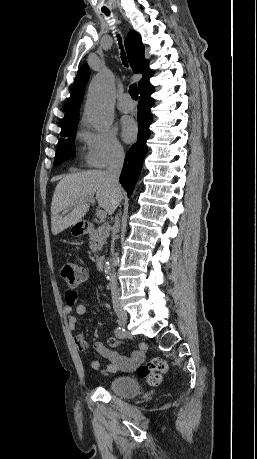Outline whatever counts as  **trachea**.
<instances>
[{"instance_id":"3493384b","label":"trachea","mask_w":257,"mask_h":459,"mask_svg":"<svg viewBox=\"0 0 257 459\" xmlns=\"http://www.w3.org/2000/svg\"><path fill=\"white\" fill-rule=\"evenodd\" d=\"M106 15H109L110 12L109 11H103ZM120 40V38H119ZM122 48V46H121ZM121 57H122V61H123V64L125 66H127V58L125 56V53L122 51L121 53ZM129 94L130 96L132 97V99L134 100H138V90H137V85L136 84H132L129 88Z\"/></svg>"}]
</instances>
